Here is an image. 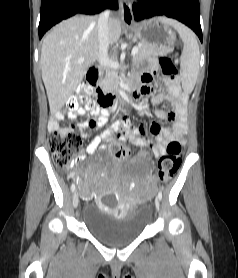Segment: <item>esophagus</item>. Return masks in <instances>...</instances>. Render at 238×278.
Instances as JSON below:
<instances>
[{"instance_id": "1", "label": "esophagus", "mask_w": 238, "mask_h": 278, "mask_svg": "<svg viewBox=\"0 0 238 278\" xmlns=\"http://www.w3.org/2000/svg\"><path fill=\"white\" fill-rule=\"evenodd\" d=\"M120 12L122 20L126 24H133L134 17L132 12V6L129 0H120L119 1Z\"/></svg>"}]
</instances>
